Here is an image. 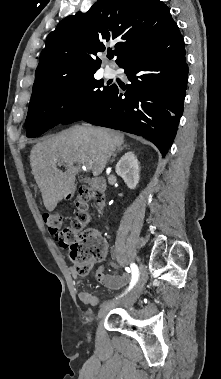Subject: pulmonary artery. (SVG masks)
I'll use <instances>...</instances> for the list:
<instances>
[{"mask_svg":"<svg viewBox=\"0 0 221 379\" xmlns=\"http://www.w3.org/2000/svg\"><path fill=\"white\" fill-rule=\"evenodd\" d=\"M104 74H105L106 77L111 78V77H113L115 75V71L112 68L107 67L104 70Z\"/></svg>","mask_w":221,"mask_h":379,"instance_id":"1","label":"pulmonary artery"}]
</instances>
